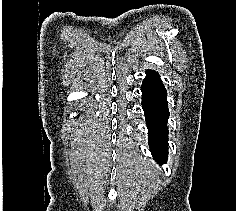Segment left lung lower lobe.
Instances as JSON below:
<instances>
[{"mask_svg": "<svg viewBox=\"0 0 236 211\" xmlns=\"http://www.w3.org/2000/svg\"><path fill=\"white\" fill-rule=\"evenodd\" d=\"M142 108L148 128V143L153 158L164 163L168 154L167 92L156 71L147 70L142 86Z\"/></svg>", "mask_w": 236, "mask_h": 211, "instance_id": "left-lung-lower-lobe-1", "label": "left lung lower lobe"}]
</instances>
